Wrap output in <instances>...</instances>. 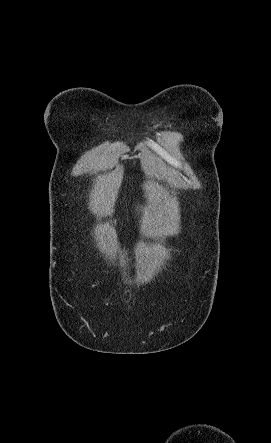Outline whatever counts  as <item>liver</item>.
Returning <instances> with one entry per match:
<instances>
[{
  "label": "liver",
  "instance_id": "6515ba94",
  "mask_svg": "<svg viewBox=\"0 0 271 443\" xmlns=\"http://www.w3.org/2000/svg\"><path fill=\"white\" fill-rule=\"evenodd\" d=\"M146 216H148V214H146ZM147 222H149V220H147ZM147 222H144V223H147Z\"/></svg>",
  "mask_w": 271,
  "mask_h": 443
}]
</instances>
